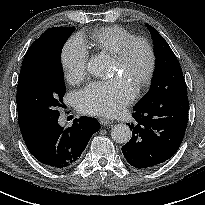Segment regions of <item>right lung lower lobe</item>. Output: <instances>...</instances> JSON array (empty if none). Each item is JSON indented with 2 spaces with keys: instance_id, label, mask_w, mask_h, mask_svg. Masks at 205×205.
<instances>
[{
  "instance_id": "1",
  "label": "right lung lower lobe",
  "mask_w": 205,
  "mask_h": 205,
  "mask_svg": "<svg viewBox=\"0 0 205 205\" xmlns=\"http://www.w3.org/2000/svg\"><path fill=\"white\" fill-rule=\"evenodd\" d=\"M59 115L40 123L23 139L38 161L49 168L65 169L77 163L100 127L95 119L80 117L71 127L63 128L58 123Z\"/></svg>"
}]
</instances>
